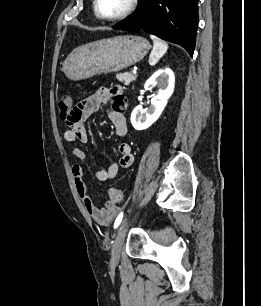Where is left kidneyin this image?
Returning <instances> with one entry per match:
<instances>
[{"label":"left kidney","instance_id":"5707ae66","mask_svg":"<svg viewBox=\"0 0 261 306\" xmlns=\"http://www.w3.org/2000/svg\"><path fill=\"white\" fill-rule=\"evenodd\" d=\"M175 77L170 68H165L155 72L145 83L144 88L152 91L158 87L152 95L151 105L143 109L141 105L134 108L131 114V124L136 130H144L150 127L162 114L174 91Z\"/></svg>","mask_w":261,"mask_h":306}]
</instances>
